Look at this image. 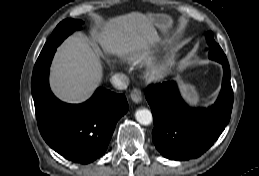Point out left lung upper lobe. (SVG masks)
<instances>
[{"instance_id": "obj_1", "label": "left lung upper lobe", "mask_w": 259, "mask_h": 176, "mask_svg": "<svg viewBox=\"0 0 259 176\" xmlns=\"http://www.w3.org/2000/svg\"><path fill=\"white\" fill-rule=\"evenodd\" d=\"M206 40L209 44V58L218 61L220 63L227 62V58L221 49V47L214 41L213 33L208 32Z\"/></svg>"}]
</instances>
